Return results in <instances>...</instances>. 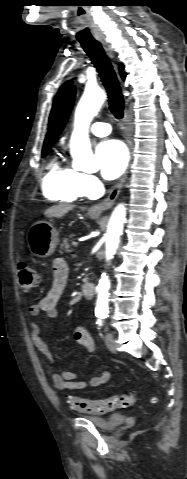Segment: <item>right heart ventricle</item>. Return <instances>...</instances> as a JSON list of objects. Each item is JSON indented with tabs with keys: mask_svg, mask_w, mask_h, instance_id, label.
<instances>
[{
	"mask_svg": "<svg viewBox=\"0 0 187 479\" xmlns=\"http://www.w3.org/2000/svg\"><path fill=\"white\" fill-rule=\"evenodd\" d=\"M79 172L63 165L58 156L46 165L41 181L43 195L57 202H73L83 195L79 183Z\"/></svg>",
	"mask_w": 187,
	"mask_h": 479,
	"instance_id": "1",
	"label": "right heart ventricle"
}]
</instances>
